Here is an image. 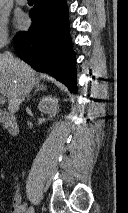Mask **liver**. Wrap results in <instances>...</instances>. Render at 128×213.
Returning a JSON list of instances; mask_svg holds the SVG:
<instances>
[{
  "mask_svg": "<svg viewBox=\"0 0 128 213\" xmlns=\"http://www.w3.org/2000/svg\"><path fill=\"white\" fill-rule=\"evenodd\" d=\"M37 83L36 72L27 63L16 58L11 62L5 54H0V94L8 99L11 114L19 110Z\"/></svg>",
  "mask_w": 128,
  "mask_h": 213,
  "instance_id": "1",
  "label": "liver"
}]
</instances>
